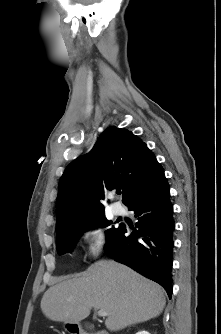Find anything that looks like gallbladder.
<instances>
[{"label": "gallbladder", "mask_w": 221, "mask_h": 334, "mask_svg": "<svg viewBox=\"0 0 221 334\" xmlns=\"http://www.w3.org/2000/svg\"><path fill=\"white\" fill-rule=\"evenodd\" d=\"M87 328L91 329V326H89V327L87 326Z\"/></svg>", "instance_id": "gallbladder-1"}]
</instances>
